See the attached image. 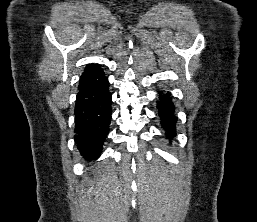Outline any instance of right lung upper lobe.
I'll use <instances>...</instances> for the list:
<instances>
[{
    "mask_svg": "<svg viewBox=\"0 0 257 222\" xmlns=\"http://www.w3.org/2000/svg\"><path fill=\"white\" fill-rule=\"evenodd\" d=\"M103 74L104 72L98 64H88L80 78L79 87L94 82Z\"/></svg>",
    "mask_w": 257,
    "mask_h": 222,
    "instance_id": "cb5924a9",
    "label": "right lung upper lobe"
}]
</instances>
